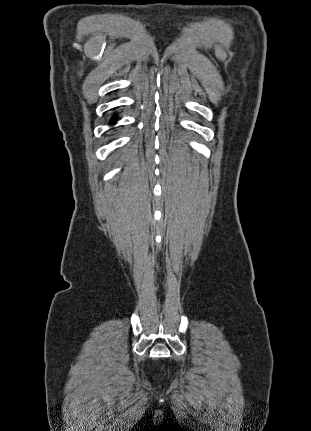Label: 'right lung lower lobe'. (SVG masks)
<instances>
[{
  "label": "right lung lower lobe",
  "mask_w": 311,
  "mask_h": 431,
  "mask_svg": "<svg viewBox=\"0 0 311 431\" xmlns=\"http://www.w3.org/2000/svg\"><path fill=\"white\" fill-rule=\"evenodd\" d=\"M114 120H115V119H114V118H112V122H114Z\"/></svg>",
  "instance_id": "right-lung-lower-lobe-1"
}]
</instances>
